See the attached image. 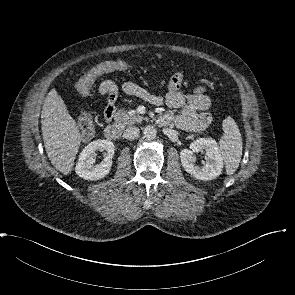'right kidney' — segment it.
Segmentation results:
<instances>
[{
	"label": "right kidney",
	"mask_w": 295,
	"mask_h": 295,
	"mask_svg": "<svg viewBox=\"0 0 295 295\" xmlns=\"http://www.w3.org/2000/svg\"><path fill=\"white\" fill-rule=\"evenodd\" d=\"M105 151L104 159L97 165L94 164V153ZM114 144L109 140H96L88 144L80 153L75 167L76 174L85 180H97L109 174L114 156Z\"/></svg>",
	"instance_id": "ca27d5eb"
}]
</instances>
